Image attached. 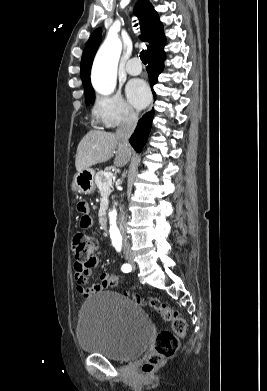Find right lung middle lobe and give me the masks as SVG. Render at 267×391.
<instances>
[{"instance_id":"obj_1","label":"right lung middle lobe","mask_w":267,"mask_h":391,"mask_svg":"<svg viewBox=\"0 0 267 391\" xmlns=\"http://www.w3.org/2000/svg\"><path fill=\"white\" fill-rule=\"evenodd\" d=\"M94 99H95L94 90L93 91H88V92L85 93V100H86V104L87 105H89L90 103H93Z\"/></svg>"}]
</instances>
